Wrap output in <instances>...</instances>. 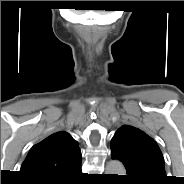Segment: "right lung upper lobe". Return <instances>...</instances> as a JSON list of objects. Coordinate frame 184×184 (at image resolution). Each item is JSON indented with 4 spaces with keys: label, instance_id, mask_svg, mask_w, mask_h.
Instances as JSON below:
<instances>
[{
    "label": "right lung upper lobe",
    "instance_id": "obj_1",
    "mask_svg": "<svg viewBox=\"0 0 184 184\" xmlns=\"http://www.w3.org/2000/svg\"><path fill=\"white\" fill-rule=\"evenodd\" d=\"M77 141L65 131L56 132L29 151L21 172L31 181H52L62 178L81 162Z\"/></svg>",
    "mask_w": 184,
    "mask_h": 184
}]
</instances>
